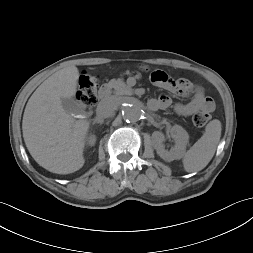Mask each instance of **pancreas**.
Returning <instances> with one entry per match:
<instances>
[{"label": "pancreas", "mask_w": 253, "mask_h": 253, "mask_svg": "<svg viewBox=\"0 0 253 253\" xmlns=\"http://www.w3.org/2000/svg\"><path fill=\"white\" fill-rule=\"evenodd\" d=\"M111 86L113 88V92H112L113 97L132 94V90L121 79L113 80L111 82Z\"/></svg>", "instance_id": "cf45deb5"}]
</instances>
